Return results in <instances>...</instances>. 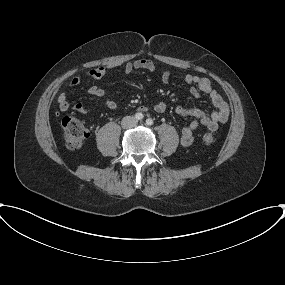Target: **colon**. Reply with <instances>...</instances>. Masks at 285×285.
Segmentation results:
<instances>
[{
    "mask_svg": "<svg viewBox=\"0 0 285 285\" xmlns=\"http://www.w3.org/2000/svg\"><path fill=\"white\" fill-rule=\"evenodd\" d=\"M63 129L64 142L67 148L75 150L81 148L89 137V131L84 122L73 115H66L61 121ZM206 145L215 142V136L212 132H206L202 137Z\"/></svg>",
    "mask_w": 285,
    "mask_h": 285,
    "instance_id": "5ec220e1",
    "label": "colon"
}]
</instances>
